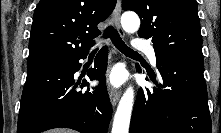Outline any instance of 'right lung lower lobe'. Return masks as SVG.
<instances>
[{"label":"right lung lower lobe","instance_id":"right-lung-lower-lobe-1","mask_svg":"<svg viewBox=\"0 0 221 133\" xmlns=\"http://www.w3.org/2000/svg\"><path fill=\"white\" fill-rule=\"evenodd\" d=\"M88 53L39 62L27 66L18 117L17 133H39L65 127L81 133H106L112 116L105 79L107 48L95 58L94 68L87 73L100 83L92 91L74 90V73L81 67L80 59ZM80 84V83H79ZM88 86L83 80L81 87Z\"/></svg>","mask_w":221,"mask_h":133}]
</instances>
